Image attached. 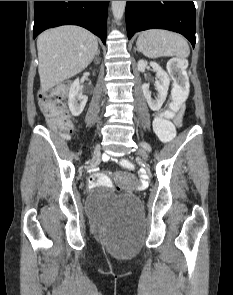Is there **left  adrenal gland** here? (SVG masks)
<instances>
[{"label":"left adrenal gland","mask_w":233,"mask_h":295,"mask_svg":"<svg viewBox=\"0 0 233 295\" xmlns=\"http://www.w3.org/2000/svg\"><path fill=\"white\" fill-rule=\"evenodd\" d=\"M134 51H135V52L137 51V48H136V47L134 48Z\"/></svg>","instance_id":"left-adrenal-gland-1"}]
</instances>
